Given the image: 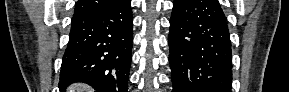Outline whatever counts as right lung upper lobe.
Returning a JSON list of instances; mask_svg holds the SVG:
<instances>
[{
    "label": "right lung upper lobe",
    "mask_w": 289,
    "mask_h": 92,
    "mask_svg": "<svg viewBox=\"0 0 289 92\" xmlns=\"http://www.w3.org/2000/svg\"><path fill=\"white\" fill-rule=\"evenodd\" d=\"M119 1L120 0H78L73 16L105 9L115 5Z\"/></svg>",
    "instance_id": "cb5924a9"
}]
</instances>
